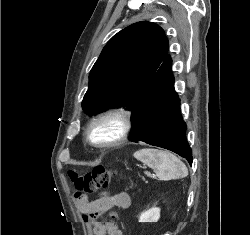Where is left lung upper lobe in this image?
Here are the masks:
<instances>
[{
	"label": "left lung upper lobe",
	"instance_id": "obj_1",
	"mask_svg": "<svg viewBox=\"0 0 250 235\" xmlns=\"http://www.w3.org/2000/svg\"><path fill=\"white\" fill-rule=\"evenodd\" d=\"M167 52L168 40L155 23L137 22L118 32L92 67L83 109L90 116L115 107L133 110Z\"/></svg>",
	"mask_w": 250,
	"mask_h": 235
}]
</instances>
